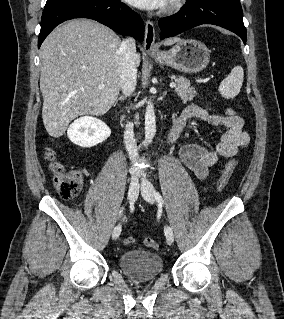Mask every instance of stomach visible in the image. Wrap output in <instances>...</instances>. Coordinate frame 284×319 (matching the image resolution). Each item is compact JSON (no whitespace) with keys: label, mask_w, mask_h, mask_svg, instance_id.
I'll return each mask as SVG.
<instances>
[{"label":"stomach","mask_w":284,"mask_h":319,"mask_svg":"<svg viewBox=\"0 0 284 319\" xmlns=\"http://www.w3.org/2000/svg\"><path fill=\"white\" fill-rule=\"evenodd\" d=\"M160 65L183 73H197L209 63L210 50L195 39H180L169 51L150 54Z\"/></svg>","instance_id":"0dacf381"}]
</instances>
